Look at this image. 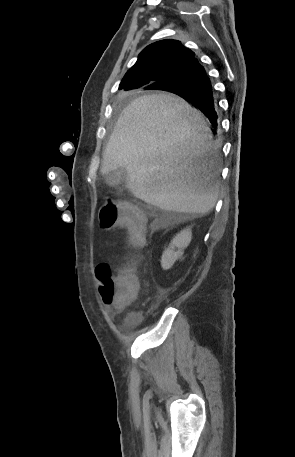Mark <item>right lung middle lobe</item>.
I'll return each mask as SVG.
<instances>
[{
    "label": "right lung middle lobe",
    "mask_w": 295,
    "mask_h": 457,
    "mask_svg": "<svg viewBox=\"0 0 295 457\" xmlns=\"http://www.w3.org/2000/svg\"><path fill=\"white\" fill-rule=\"evenodd\" d=\"M166 91H169V92H174V90H166Z\"/></svg>",
    "instance_id": "1"
}]
</instances>
